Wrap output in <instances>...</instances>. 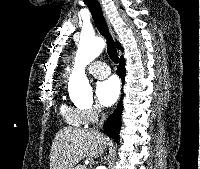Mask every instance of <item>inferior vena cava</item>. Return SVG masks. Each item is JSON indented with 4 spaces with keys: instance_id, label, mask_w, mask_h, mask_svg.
Returning <instances> with one entry per match:
<instances>
[{
    "instance_id": "inferior-vena-cava-1",
    "label": "inferior vena cava",
    "mask_w": 200,
    "mask_h": 169,
    "mask_svg": "<svg viewBox=\"0 0 200 169\" xmlns=\"http://www.w3.org/2000/svg\"><path fill=\"white\" fill-rule=\"evenodd\" d=\"M100 111H101V109H100ZM105 119H106V115L104 113H102L100 122L92 130H94L96 133H100L98 128H101L103 126Z\"/></svg>"
}]
</instances>
